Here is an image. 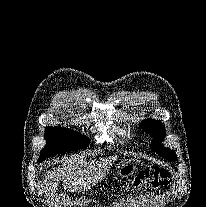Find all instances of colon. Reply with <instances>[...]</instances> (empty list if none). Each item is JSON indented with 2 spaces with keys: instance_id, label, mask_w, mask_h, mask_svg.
I'll return each instance as SVG.
<instances>
[{
  "instance_id": "1",
  "label": "colon",
  "mask_w": 206,
  "mask_h": 207,
  "mask_svg": "<svg viewBox=\"0 0 206 207\" xmlns=\"http://www.w3.org/2000/svg\"><path fill=\"white\" fill-rule=\"evenodd\" d=\"M168 184V173L162 167H148L140 171L133 180L135 188L143 189H161Z\"/></svg>"
}]
</instances>
